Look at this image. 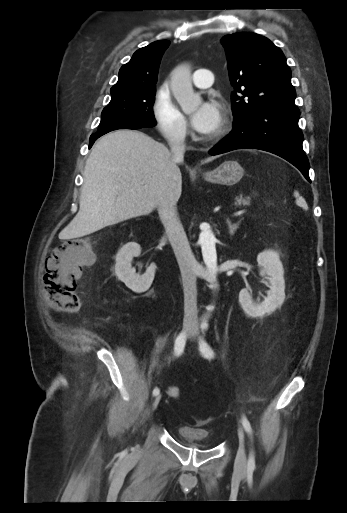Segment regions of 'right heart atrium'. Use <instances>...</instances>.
<instances>
[{
    "label": "right heart atrium",
    "instance_id": "right-heart-atrium-1",
    "mask_svg": "<svg viewBox=\"0 0 347 513\" xmlns=\"http://www.w3.org/2000/svg\"><path fill=\"white\" fill-rule=\"evenodd\" d=\"M151 113L157 130L168 142L182 143L186 140L189 134L187 119L176 105L167 82L156 89Z\"/></svg>",
    "mask_w": 347,
    "mask_h": 513
}]
</instances>
